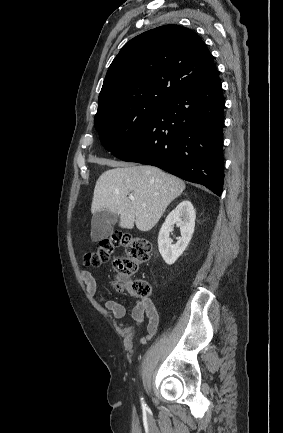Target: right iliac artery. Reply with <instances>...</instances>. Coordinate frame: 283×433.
Segmentation results:
<instances>
[{"label": "right iliac artery", "mask_w": 283, "mask_h": 433, "mask_svg": "<svg viewBox=\"0 0 283 433\" xmlns=\"http://www.w3.org/2000/svg\"><path fill=\"white\" fill-rule=\"evenodd\" d=\"M141 402H142V408H143V409H147V406H146V404L144 403L143 398H141Z\"/></svg>", "instance_id": "1"}]
</instances>
